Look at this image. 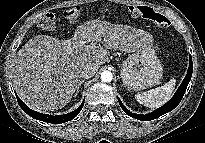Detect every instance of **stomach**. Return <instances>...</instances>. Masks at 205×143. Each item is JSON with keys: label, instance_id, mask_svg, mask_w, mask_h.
<instances>
[{"label": "stomach", "instance_id": "obj_1", "mask_svg": "<svg viewBox=\"0 0 205 143\" xmlns=\"http://www.w3.org/2000/svg\"><path fill=\"white\" fill-rule=\"evenodd\" d=\"M163 67L153 48L140 49L128 56L121 68V78L129 90L140 91L157 85Z\"/></svg>", "mask_w": 205, "mask_h": 143}]
</instances>
